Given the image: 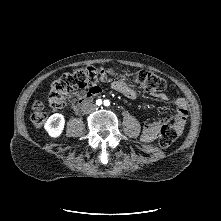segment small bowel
<instances>
[{
    "mask_svg": "<svg viewBox=\"0 0 221 221\" xmlns=\"http://www.w3.org/2000/svg\"><path fill=\"white\" fill-rule=\"evenodd\" d=\"M111 88L129 99H135L137 97V91L128 83L122 80L114 81L111 84ZM101 91L102 89L99 88L96 91H88V92L78 91L74 93L71 97V104L73 106V109L76 110L77 108L76 99H82L86 95L94 96L99 94ZM152 96H154L155 98H157L162 102H167L169 100L168 96L165 93H154L152 94ZM186 118H187L186 101L183 98H178L176 100L175 120L173 122V126L175 127L178 133H181V131L183 130ZM164 123L165 122L163 120H156L145 124L141 135L142 140L146 143L152 142L156 138L161 126Z\"/></svg>",
    "mask_w": 221,
    "mask_h": 221,
    "instance_id": "obj_1",
    "label": "small bowel"
}]
</instances>
